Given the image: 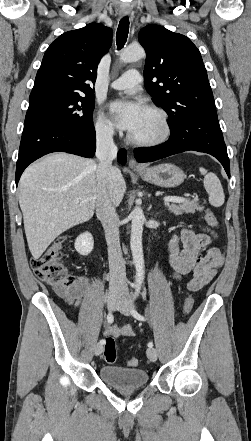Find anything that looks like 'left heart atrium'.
Segmentation results:
<instances>
[{
  "label": "left heart atrium",
  "instance_id": "39dd6f15",
  "mask_svg": "<svg viewBox=\"0 0 251 441\" xmlns=\"http://www.w3.org/2000/svg\"><path fill=\"white\" fill-rule=\"evenodd\" d=\"M145 109L142 103L136 101H115L110 104V112L116 125L130 133L137 128Z\"/></svg>",
  "mask_w": 251,
  "mask_h": 441
}]
</instances>
